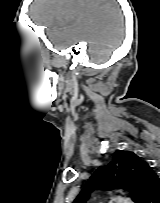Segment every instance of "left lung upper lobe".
I'll return each instance as SVG.
<instances>
[{"mask_svg":"<svg viewBox=\"0 0 160 203\" xmlns=\"http://www.w3.org/2000/svg\"><path fill=\"white\" fill-rule=\"evenodd\" d=\"M159 179L153 168L137 154L117 150L112 161L99 167L73 203H86L95 189H127L135 203H148Z\"/></svg>","mask_w":160,"mask_h":203,"instance_id":"5c2ea615","label":"left lung upper lobe"}]
</instances>
